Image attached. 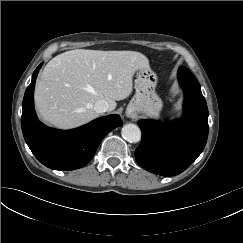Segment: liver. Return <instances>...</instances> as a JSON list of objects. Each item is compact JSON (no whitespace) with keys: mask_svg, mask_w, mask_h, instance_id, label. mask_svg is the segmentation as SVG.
Listing matches in <instances>:
<instances>
[{"mask_svg":"<svg viewBox=\"0 0 243 243\" xmlns=\"http://www.w3.org/2000/svg\"><path fill=\"white\" fill-rule=\"evenodd\" d=\"M148 66V58L136 51H66L43 69L35 87L36 109L54 127H79L97 117L98 100L113 111L116 101L129 97L134 73Z\"/></svg>","mask_w":243,"mask_h":243,"instance_id":"6515ba94","label":"liver"}]
</instances>
